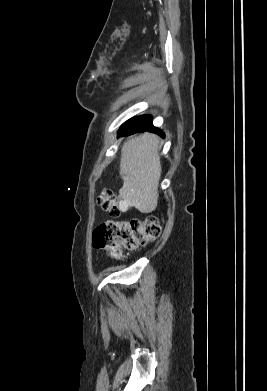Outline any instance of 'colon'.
Masks as SVG:
<instances>
[{"mask_svg":"<svg viewBox=\"0 0 267 391\" xmlns=\"http://www.w3.org/2000/svg\"><path fill=\"white\" fill-rule=\"evenodd\" d=\"M97 203L112 217L121 213L119 201L109 190L101 191ZM160 235L159 220L153 215L130 221H106L94 230L93 246L106 249L112 258L121 259L126 251L153 242Z\"/></svg>","mask_w":267,"mask_h":391,"instance_id":"colon-1","label":"colon"}]
</instances>
